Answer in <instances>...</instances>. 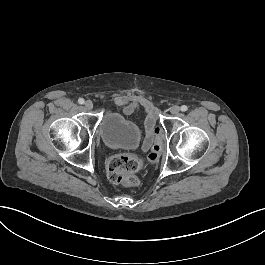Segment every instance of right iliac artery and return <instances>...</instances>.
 Here are the masks:
<instances>
[{"mask_svg":"<svg viewBox=\"0 0 265 265\" xmlns=\"http://www.w3.org/2000/svg\"><path fill=\"white\" fill-rule=\"evenodd\" d=\"M84 102H85V100H84L83 98H80V99L78 100V103L81 104V105L84 104Z\"/></svg>","mask_w":265,"mask_h":265,"instance_id":"82829eb1","label":"right iliac artery"}]
</instances>
